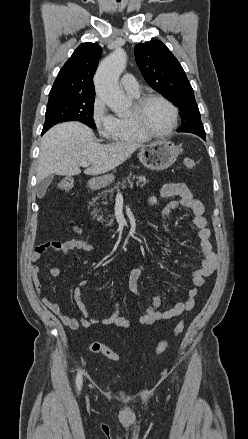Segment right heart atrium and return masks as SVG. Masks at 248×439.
Instances as JSON below:
<instances>
[{
    "label": "right heart atrium",
    "mask_w": 248,
    "mask_h": 439,
    "mask_svg": "<svg viewBox=\"0 0 248 439\" xmlns=\"http://www.w3.org/2000/svg\"><path fill=\"white\" fill-rule=\"evenodd\" d=\"M91 117L99 135L105 139L111 138L117 118L110 113L105 102L100 97H96L93 102Z\"/></svg>",
    "instance_id": "obj_1"
}]
</instances>
